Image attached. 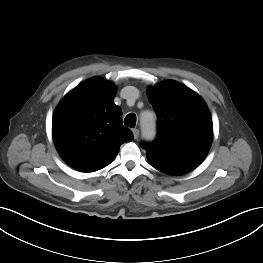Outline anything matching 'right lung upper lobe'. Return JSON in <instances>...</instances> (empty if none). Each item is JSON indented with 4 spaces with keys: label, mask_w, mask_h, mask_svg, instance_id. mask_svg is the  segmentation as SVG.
Listing matches in <instances>:
<instances>
[{
    "label": "right lung upper lobe",
    "mask_w": 263,
    "mask_h": 263,
    "mask_svg": "<svg viewBox=\"0 0 263 263\" xmlns=\"http://www.w3.org/2000/svg\"><path fill=\"white\" fill-rule=\"evenodd\" d=\"M116 87L92 77L71 90L58 104L52 135L60 156L71 167L94 172L109 165L121 144L133 140L122 124V110L113 99Z\"/></svg>",
    "instance_id": "obj_1"
}]
</instances>
